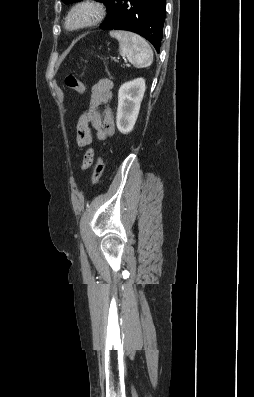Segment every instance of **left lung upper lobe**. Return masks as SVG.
I'll return each instance as SVG.
<instances>
[{
    "label": "left lung upper lobe",
    "mask_w": 254,
    "mask_h": 397,
    "mask_svg": "<svg viewBox=\"0 0 254 397\" xmlns=\"http://www.w3.org/2000/svg\"><path fill=\"white\" fill-rule=\"evenodd\" d=\"M65 4H69V3H73V2H79L81 0H62ZM98 2H103L104 4H106L108 6V4L110 3L111 0H96Z\"/></svg>",
    "instance_id": "5c2ea615"
}]
</instances>
